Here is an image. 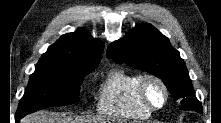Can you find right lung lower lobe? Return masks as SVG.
Wrapping results in <instances>:
<instances>
[{
    "label": "right lung lower lobe",
    "instance_id": "1",
    "mask_svg": "<svg viewBox=\"0 0 221 123\" xmlns=\"http://www.w3.org/2000/svg\"><path fill=\"white\" fill-rule=\"evenodd\" d=\"M23 116H25L24 114H19L16 112V120H20Z\"/></svg>",
    "mask_w": 221,
    "mask_h": 123
}]
</instances>
